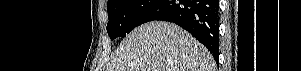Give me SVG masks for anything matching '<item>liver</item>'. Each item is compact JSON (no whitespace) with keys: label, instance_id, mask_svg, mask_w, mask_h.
<instances>
[{"label":"liver","instance_id":"6515ba94","mask_svg":"<svg viewBox=\"0 0 301 71\" xmlns=\"http://www.w3.org/2000/svg\"><path fill=\"white\" fill-rule=\"evenodd\" d=\"M106 71H215V62L191 34L156 21L138 26L124 38Z\"/></svg>","mask_w":301,"mask_h":71}]
</instances>
